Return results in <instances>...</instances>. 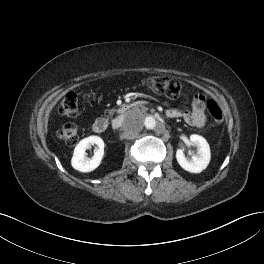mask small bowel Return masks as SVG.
Segmentation results:
<instances>
[{
  "label": "small bowel",
  "mask_w": 264,
  "mask_h": 264,
  "mask_svg": "<svg viewBox=\"0 0 264 264\" xmlns=\"http://www.w3.org/2000/svg\"><path fill=\"white\" fill-rule=\"evenodd\" d=\"M205 102L203 95L198 94L193 102L192 109L189 111H179L176 109L168 110L167 115L174 118H182L188 125L202 127L206 123Z\"/></svg>",
  "instance_id": "obj_1"
}]
</instances>
